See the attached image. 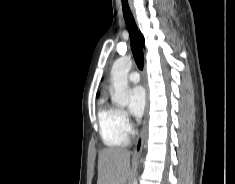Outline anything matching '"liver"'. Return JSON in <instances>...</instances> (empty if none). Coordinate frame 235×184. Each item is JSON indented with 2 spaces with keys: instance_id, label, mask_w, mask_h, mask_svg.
<instances>
[{
  "instance_id": "liver-1",
  "label": "liver",
  "mask_w": 235,
  "mask_h": 184,
  "mask_svg": "<svg viewBox=\"0 0 235 184\" xmlns=\"http://www.w3.org/2000/svg\"><path fill=\"white\" fill-rule=\"evenodd\" d=\"M130 174L129 150L105 148L99 152L97 184H126Z\"/></svg>"
}]
</instances>
